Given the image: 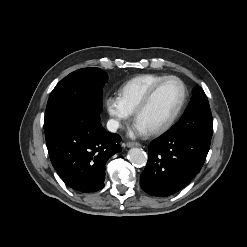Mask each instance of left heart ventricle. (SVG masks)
I'll return each instance as SVG.
<instances>
[{
	"label": "left heart ventricle",
	"mask_w": 247,
	"mask_h": 247,
	"mask_svg": "<svg viewBox=\"0 0 247 247\" xmlns=\"http://www.w3.org/2000/svg\"><path fill=\"white\" fill-rule=\"evenodd\" d=\"M182 98V87L174 80L163 84L137 122L148 132L164 124L176 111Z\"/></svg>",
	"instance_id": "1"
}]
</instances>
